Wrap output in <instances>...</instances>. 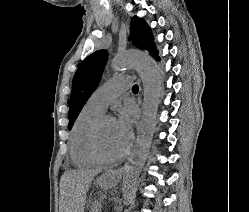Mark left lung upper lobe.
<instances>
[{
    "label": "left lung upper lobe",
    "mask_w": 249,
    "mask_h": 212,
    "mask_svg": "<svg viewBox=\"0 0 249 212\" xmlns=\"http://www.w3.org/2000/svg\"><path fill=\"white\" fill-rule=\"evenodd\" d=\"M131 35L133 44L142 49L148 50L152 56H156L154 38L147 23L139 17H133L131 22ZM108 53L106 50H99L89 55L79 66L73 78L72 93L70 97L69 129L73 126L84 104L97 88Z\"/></svg>",
    "instance_id": "5c2ea615"
}]
</instances>
